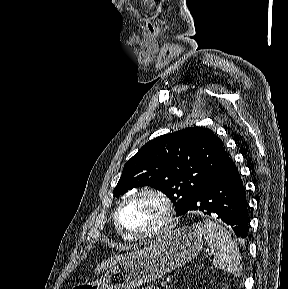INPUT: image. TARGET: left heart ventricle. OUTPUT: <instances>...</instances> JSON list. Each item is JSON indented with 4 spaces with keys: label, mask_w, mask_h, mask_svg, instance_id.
Listing matches in <instances>:
<instances>
[{
    "label": "left heart ventricle",
    "mask_w": 288,
    "mask_h": 289,
    "mask_svg": "<svg viewBox=\"0 0 288 289\" xmlns=\"http://www.w3.org/2000/svg\"><path fill=\"white\" fill-rule=\"evenodd\" d=\"M165 218L161 201L150 195H142L131 201L122 212V223L134 233L150 232L160 227Z\"/></svg>",
    "instance_id": "obj_1"
}]
</instances>
